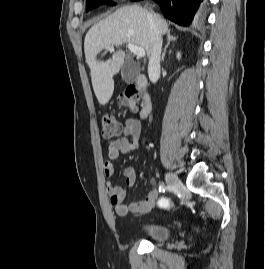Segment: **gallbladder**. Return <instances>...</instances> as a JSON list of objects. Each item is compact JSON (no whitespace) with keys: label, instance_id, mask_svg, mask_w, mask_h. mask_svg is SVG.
Wrapping results in <instances>:
<instances>
[{"label":"gallbladder","instance_id":"gallbladder-1","mask_svg":"<svg viewBox=\"0 0 265 269\" xmlns=\"http://www.w3.org/2000/svg\"><path fill=\"white\" fill-rule=\"evenodd\" d=\"M122 78L126 83H133L139 73L137 65L126 59L121 68Z\"/></svg>","mask_w":265,"mask_h":269}]
</instances>
